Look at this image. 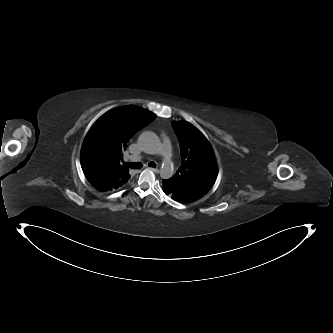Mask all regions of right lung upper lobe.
Returning <instances> with one entry per match:
<instances>
[{"mask_svg":"<svg viewBox=\"0 0 333 333\" xmlns=\"http://www.w3.org/2000/svg\"><path fill=\"white\" fill-rule=\"evenodd\" d=\"M156 115L136 106H121L103 114L90 128L85 140L93 151L86 161L103 191L121 188L129 169L121 165L130 138L155 119Z\"/></svg>","mask_w":333,"mask_h":333,"instance_id":"cb5924a9","label":"right lung upper lobe"}]
</instances>
